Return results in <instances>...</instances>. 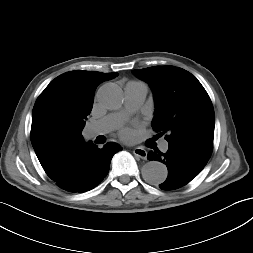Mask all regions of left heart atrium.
Wrapping results in <instances>:
<instances>
[{
  "instance_id": "39dd6f15",
  "label": "left heart atrium",
  "mask_w": 253,
  "mask_h": 253,
  "mask_svg": "<svg viewBox=\"0 0 253 253\" xmlns=\"http://www.w3.org/2000/svg\"><path fill=\"white\" fill-rule=\"evenodd\" d=\"M131 135H132L131 131H130L129 129H127V128H126V129H123V130L121 131V136H122L123 138H125V139L130 138Z\"/></svg>"
}]
</instances>
